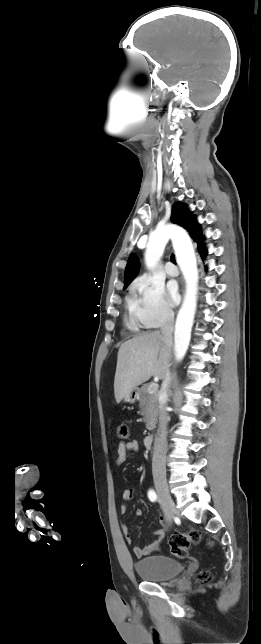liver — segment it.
Wrapping results in <instances>:
<instances>
[{"instance_id": "obj_1", "label": "liver", "mask_w": 261, "mask_h": 644, "mask_svg": "<svg viewBox=\"0 0 261 644\" xmlns=\"http://www.w3.org/2000/svg\"><path fill=\"white\" fill-rule=\"evenodd\" d=\"M171 346L159 331L146 332L124 342L118 351L114 379L117 403L152 376L164 379L169 370Z\"/></svg>"}]
</instances>
